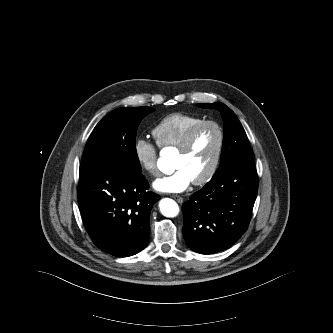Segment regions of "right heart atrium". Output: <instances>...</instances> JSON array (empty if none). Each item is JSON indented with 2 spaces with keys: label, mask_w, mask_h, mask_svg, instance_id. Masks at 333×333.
<instances>
[{
  "label": "right heart atrium",
  "mask_w": 333,
  "mask_h": 333,
  "mask_svg": "<svg viewBox=\"0 0 333 333\" xmlns=\"http://www.w3.org/2000/svg\"><path fill=\"white\" fill-rule=\"evenodd\" d=\"M134 156L139 166L151 176L159 174L157 146L145 138H137L133 145Z\"/></svg>",
  "instance_id": "d8ad5b80"
}]
</instances>
